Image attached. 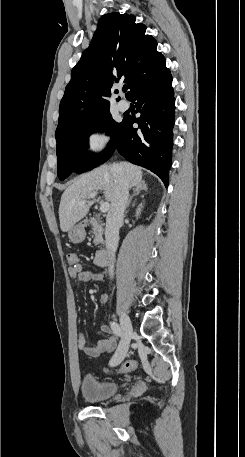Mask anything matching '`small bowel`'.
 Here are the masks:
<instances>
[{
    "instance_id": "1",
    "label": "small bowel",
    "mask_w": 245,
    "mask_h": 457,
    "mask_svg": "<svg viewBox=\"0 0 245 457\" xmlns=\"http://www.w3.org/2000/svg\"><path fill=\"white\" fill-rule=\"evenodd\" d=\"M68 272L70 277L82 282L102 280V275L100 273L82 270L80 266L78 268L70 267ZM99 301L101 304H105L108 301V295L102 294ZM101 331L106 334L107 337L101 339L94 346H89L84 334L80 333L77 339L78 349L91 357H98L102 354L113 352L117 347L116 338L112 335L111 330L107 325H103Z\"/></svg>"
}]
</instances>
